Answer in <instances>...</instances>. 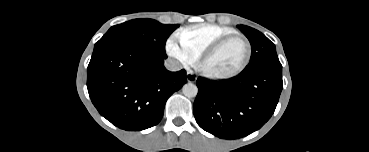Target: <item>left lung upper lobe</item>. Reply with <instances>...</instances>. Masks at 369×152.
Wrapping results in <instances>:
<instances>
[{
	"mask_svg": "<svg viewBox=\"0 0 369 152\" xmlns=\"http://www.w3.org/2000/svg\"><path fill=\"white\" fill-rule=\"evenodd\" d=\"M237 27L248 38L252 48L250 62L243 70L244 72L262 67H282L275 50V45L265 35L245 25H238Z\"/></svg>",
	"mask_w": 369,
	"mask_h": 152,
	"instance_id": "left-lung-upper-lobe-1",
	"label": "left lung upper lobe"
}]
</instances>
